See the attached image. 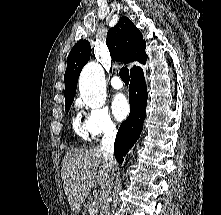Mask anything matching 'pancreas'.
Returning a JSON list of instances; mask_svg holds the SVG:
<instances>
[{
    "instance_id": "obj_1",
    "label": "pancreas",
    "mask_w": 221,
    "mask_h": 215,
    "mask_svg": "<svg viewBox=\"0 0 221 215\" xmlns=\"http://www.w3.org/2000/svg\"><path fill=\"white\" fill-rule=\"evenodd\" d=\"M92 198L90 197L89 198V201L86 203V205H85V209L86 210H89V208L92 206ZM93 215H98V211L97 212H95Z\"/></svg>"
}]
</instances>
